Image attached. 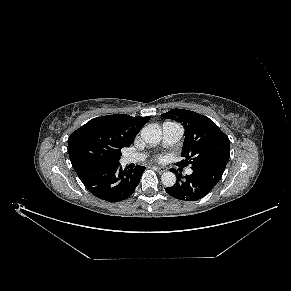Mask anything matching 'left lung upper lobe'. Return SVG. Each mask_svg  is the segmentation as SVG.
<instances>
[{
	"mask_svg": "<svg viewBox=\"0 0 291 291\" xmlns=\"http://www.w3.org/2000/svg\"><path fill=\"white\" fill-rule=\"evenodd\" d=\"M162 116L182 123L185 128L184 160L177 163L178 166L225 169L230 155V141L211 119L183 109H173Z\"/></svg>",
	"mask_w": 291,
	"mask_h": 291,
	"instance_id": "obj_1",
	"label": "left lung upper lobe"
}]
</instances>
